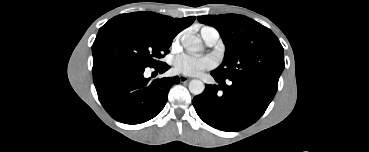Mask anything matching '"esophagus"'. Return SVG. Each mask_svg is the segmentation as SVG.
<instances>
[{
  "label": "esophagus",
  "mask_w": 369,
  "mask_h": 152,
  "mask_svg": "<svg viewBox=\"0 0 369 152\" xmlns=\"http://www.w3.org/2000/svg\"><path fill=\"white\" fill-rule=\"evenodd\" d=\"M179 79H180V82H182V83L188 82L190 80V78H188L185 75H180Z\"/></svg>",
  "instance_id": "obj_1"
}]
</instances>
